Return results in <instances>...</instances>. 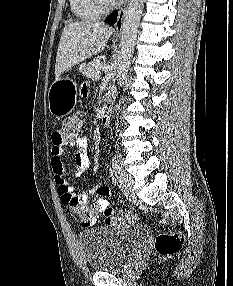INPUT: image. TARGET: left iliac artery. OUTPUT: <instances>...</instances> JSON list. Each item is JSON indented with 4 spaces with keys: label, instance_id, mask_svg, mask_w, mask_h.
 Listing matches in <instances>:
<instances>
[{
    "label": "left iliac artery",
    "instance_id": "left-iliac-artery-1",
    "mask_svg": "<svg viewBox=\"0 0 233 286\" xmlns=\"http://www.w3.org/2000/svg\"><path fill=\"white\" fill-rule=\"evenodd\" d=\"M112 166H113V171L115 172V175L117 176V178H119L121 169H120V166L118 164V160L116 159V157L112 158Z\"/></svg>",
    "mask_w": 233,
    "mask_h": 286
}]
</instances>
